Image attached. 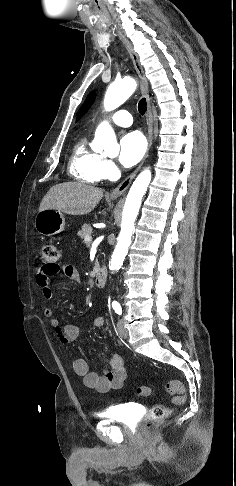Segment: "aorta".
Returning a JSON list of instances; mask_svg holds the SVG:
<instances>
[{
	"instance_id": "aorta-1",
	"label": "aorta",
	"mask_w": 236,
	"mask_h": 486,
	"mask_svg": "<svg viewBox=\"0 0 236 486\" xmlns=\"http://www.w3.org/2000/svg\"><path fill=\"white\" fill-rule=\"evenodd\" d=\"M136 86V81L132 78H125L110 84L104 98L105 110L111 111L123 104L134 93ZM92 149L96 152L104 151L106 154L119 150L114 130L108 122H103L97 127ZM150 181L151 171L149 169L142 171L135 179L127 195L122 213L121 231L109 263V268L112 271L120 269L127 255L134 231V222Z\"/></svg>"
}]
</instances>
